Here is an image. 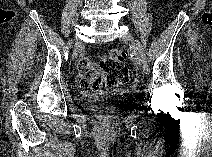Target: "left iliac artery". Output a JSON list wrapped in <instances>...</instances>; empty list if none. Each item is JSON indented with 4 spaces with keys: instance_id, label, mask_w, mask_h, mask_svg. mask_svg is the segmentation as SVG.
<instances>
[{
    "instance_id": "44dca946",
    "label": "left iliac artery",
    "mask_w": 212,
    "mask_h": 157,
    "mask_svg": "<svg viewBox=\"0 0 212 157\" xmlns=\"http://www.w3.org/2000/svg\"><path fill=\"white\" fill-rule=\"evenodd\" d=\"M136 48H137V50H138V52H139V54L142 58V63H143L145 73L149 74L150 67H149V64H148L147 56H146V53H145V50H144L142 44L139 41L136 42Z\"/></svg>"
}]
</instances>
